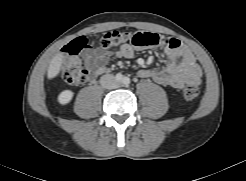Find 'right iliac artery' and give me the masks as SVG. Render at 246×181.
Segmentation results:
<instances>
[{
    "mask_svg": "<svg viewBox=\"0 0 246 181\" xmlns=\"http://www.w3.org/2000/svg\"><path fill=\"white\" fill-rule=\"evenodd\" d=\"M116 79H117L118 81H122V80H123L122 74L118 73V74L116 75Z\"/></svg>",
    "mask_w": 246,
    "mask_h": 181,
    "instance_id": "right-iliac-artery-1",
    "label": "right iliac artery"
}]
</instances>
